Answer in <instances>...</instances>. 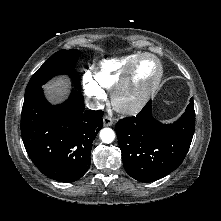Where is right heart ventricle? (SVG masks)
Wrapping results in <instances>:
<instances>
[{
	"instance_id": "1",
	"label": "right heart ventricle",
	"mask_w": 221,
	"mask_h": 221,
	"mask_svg": "<svg viewBox=\"0 0 221 221\" xmlns=\"http://www.w3.org/2000/svg\"><path fill=\"white\" fill-rule=\"evenodd\" d=\"M142 53L103 60L94 71L95 81L105 89H113L130 64Z\"/></svg>"
}]
</instances>
